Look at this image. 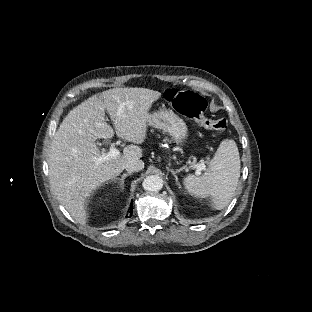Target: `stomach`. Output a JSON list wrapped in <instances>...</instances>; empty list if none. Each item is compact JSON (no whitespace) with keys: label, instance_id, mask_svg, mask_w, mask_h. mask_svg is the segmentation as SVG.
<instances>
[{"label":"stomach","instance_id":"stomach-1","mask_svg":"<svg viewBox=\"0 0 312 312\" xmlns=\"http://www.w3.org/2000/svg\"><path fill=\"white\" fill-rule=\"evenodd\" d=\"M148 125L169 133L177 144L187 137V125L172 110H159L149 115Z\"/></svg>","mask_w":312,"mask_h":312}]
</instances>
